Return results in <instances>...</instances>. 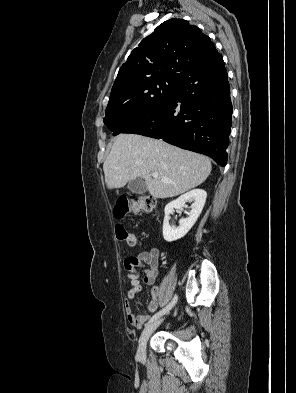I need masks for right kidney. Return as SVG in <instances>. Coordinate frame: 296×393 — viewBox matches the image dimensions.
I'll list each match as a JSON object with an SVG mask.
<instances>
[{
	"label": "right kidney",
	"mask_w": 296,
	"mask_h": 393,
	"mask_svg": "<svg viewBox=\"0 0 296 393\" xmlns=\"http://www.w3.org/2000/svg\"><path fill=\"white\" fill-rule=\"evenodd\" d=\"M207 193L202 189H194L186 194L181 195L176 200L168 203L165 206V217L163 222V237L167 242H172L184 237L193 227L206 202ZM193 200L191 211L187 218H182L179 221V226L174 227L169 224V215L174 209L183 210L185 202Z\"/></svg>",
	"instance_id": "right-kidney-1"
}]
</instances>
